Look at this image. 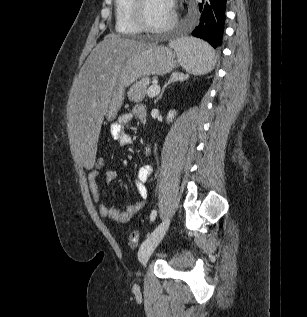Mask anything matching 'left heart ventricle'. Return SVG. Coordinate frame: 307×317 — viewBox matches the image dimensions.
<instances>
[{"label":"left heart ventricle","mask_w":307,"mask_h":317,"mask_svg":"<svg viewBox=\"0 0 307 317\" xmlns=\"http://www.w3.org/2000/svg\"><path fill=\"white\" fill-rule=\"evenodd\" d=\"M172 12L168 0H146L145 18L151 26H163L171 19Z\"/></svg>","instance_id":"left-heart-ventricle-1"}]
</instances>
